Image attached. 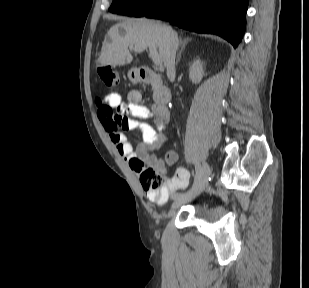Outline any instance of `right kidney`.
Segmentation results:
<instances>
[{"instance_id": "obj_1", "label": "right kidney", "mask_w": 309, "mask_h": 288, "mask_svg": "<svg viewBox=\"0 0 309 288\" xmlns=\"http://www.w3.org/2000/svg\"><path fill=\"white\" fill-rule=\"evenodd\" d=\"M203 76V63L200 60H196L190 67L189 78L193 83L198 84L201 82Z\"/></svg>"}]
</instances>
